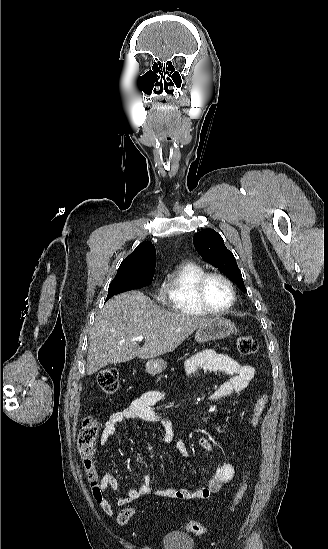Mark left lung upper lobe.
Wrapping results in <instances>:
<instances>
[{"instance_id":"left-lung-upper-lobe-1","label":"left lung upper lobe","mask_w":328,"mask_h":549,"mask_svg":"<svg viewBox=\"0 0 328 549\" xmlns=\"http://www.w3.org/2000/svg\"><path fill=\"white\" fill-rule=\"evenodd\" d=\"M193 243L205 261L222 271L242 291L246 292L236 259L233 253L226 248L219 233L213 229L202 230L194 235Z\"/></svg>"}]
</instances>
